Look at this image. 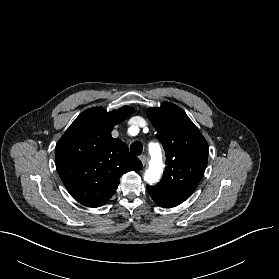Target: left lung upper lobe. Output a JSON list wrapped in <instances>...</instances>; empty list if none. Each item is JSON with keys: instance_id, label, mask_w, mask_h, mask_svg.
Returning <instances> with one entry per match:
<instances>
[{"instance_id": "5c2ea615", "label": "left lung upper lobe", "mask_w": 279, "mask_h": 279, "mask_svg": "<svg viewBox=\"0 0 279 279\" xmlns=\"http://www.w3.org/2000/svg\"><path fill=\"white\" fill-rule=\"evenodd\" d=\"M147 116L167 157L161 182L147 185V192L157 204L179 205L191 196L204 174L208 144L185 112L173 103L149 108Z\"/></svg>"}]
</instances>
